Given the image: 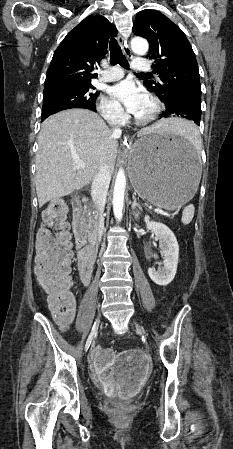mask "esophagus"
<instances>
[{
	"mask_svg": "<svg viewBox=\"0 0 233 449\" xmlns=\"http://www.w3.org/2000/svg\"><path fill=\"white\" fill-rule=\"evenodd\" d=\"M117 39H118V42H119L124 54L127 57L132 58L133 57L132 52H131L129 46L127 45L125 38L119 33ZM125 141L130 142L128 135L125 136Z\"/></svg>",
	"mask_w": 233,
	"mask_h": 449,
	"instance_id": "1",
	"label": "esophagus"
}]
</instances>
